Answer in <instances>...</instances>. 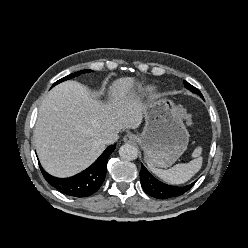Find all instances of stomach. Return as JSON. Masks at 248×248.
Segmentation results:
<instances>
[{
    "label": "stomach",
    "mask_w": 248,
    "mask_h": 248,
    "mask_svg": "<svg viewBox=\"0 0 248 248\" xmlns=\"http://www.w3.org/2000/svg\"><path fill=\"white\" fill-rule=\"evenodd\" d=\"M142 107L145 127L137 141L147 163L167 168L185 152L189 142L181 108L170 99L156 95L150 96Z\"/></svg>",
    "instance_id": "0dacf381"
}]
</instances>
